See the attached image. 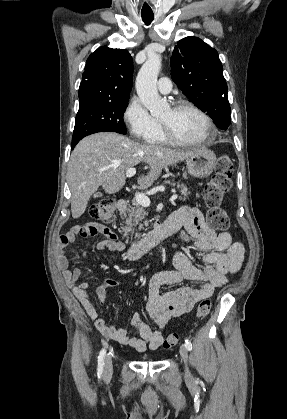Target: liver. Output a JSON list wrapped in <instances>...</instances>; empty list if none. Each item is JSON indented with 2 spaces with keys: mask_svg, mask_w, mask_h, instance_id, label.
I'll list each match as a JSON object with an SVG mask.
<instances>
[{
  "mask_svg": "<svg viewBox=\"0 0 287 419\" xmlns=\"http://www.w3.org/2000/svg\"><path fill=\"white\" fill-rule=\"evenodd\" d=\"M195 151L140 144L111 132L85 137L72 151L68 163L72 217L77 219L85 212L91 195L100 186L108 194L118 192L126 183L125 173L129 168L143 162L148 164L150 171L137 179L142 188H147L164 167L187 159Z\"/></svg>",
  "mask_w": 287,
  "mask_h": 419,
  "instance_id": "liver-1",
  "label": "liver"
}]
</instances>
